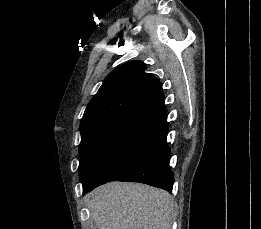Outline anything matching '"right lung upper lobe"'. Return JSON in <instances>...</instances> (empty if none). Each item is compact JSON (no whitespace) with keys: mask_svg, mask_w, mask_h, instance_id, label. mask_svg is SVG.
Wrapping results in <instances>:
<instances>
[{"mask_svg":"<svg viewBox=\"0 0 261 229\" xmlns=\"http://www.w3.org/2000/svg\"><path fill=\"white\" fill-rule=\"evenodd\" d=\"M141 61L113 70L81 120L80 145L131 148L138 130L156 131L167 118L159 80Z\"/></svg>","mask_w":261,"mask_h":229,"instance_id":"1","label":"right lung upper lobe"}]
</instances>
